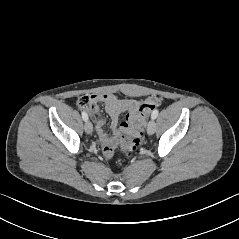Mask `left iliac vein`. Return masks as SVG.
<instances>
[{"label": "left iliac vein", "mask_w": 239, "mask_h": 239, "mask_svg": "<svg viewBox=\"0 0 239 239\" xmlns=\"http://www.w3.org/2000/svg\"><path fill=\"white\" fill-rule=\"evenodd\" d=\"M155 130H156V123H155L154 119H151L147 126L148 135L154 134Z\"/></svg>", "instance_id": "4c4485c4"}]
</instances>
